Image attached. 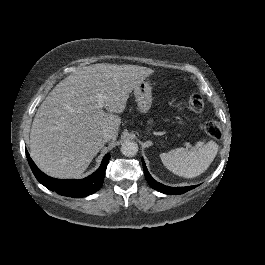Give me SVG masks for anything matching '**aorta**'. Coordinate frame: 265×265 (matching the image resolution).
<instances>
[{"label": "aorta", "instance_id": "762f6f07", "mask_svg": "<svg viewBox=\"0 0 265 265\" xmlns=\"http://www.w3.org/2000/svg\"><path fill=\"white\" fill-rule=\"evenodd\" d=\"M138 143L131 140H126L122 143L121 152L125 156H134L138 152Z\"/></svg>", "mask_w": 265, "mask_h": 265}]
</instances>
